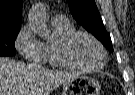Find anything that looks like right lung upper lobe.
I'll return each instance as SVG.
<instances>
[{"mask_svg":"<svg viewBox=\"0 0 135 95\" xmlns=\"http://www.w3.org/2000/svg\"><path fill=\"white\" fill-rule=\"evenodd\" d=\"M23 0H0V33L18 31Z\"/></svg>","mask_w":135,"mask_h":95,"instance_id":"cb5924a9","label":"right lung upper lobe"}]
</instances>
